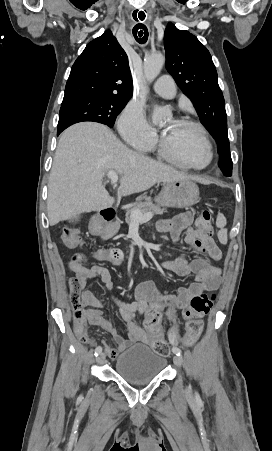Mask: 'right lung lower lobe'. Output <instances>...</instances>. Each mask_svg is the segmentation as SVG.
<instances>
[{
    "instance_id": "1",
    "label": "right lung lower lobe",
    "mask_w": 272,
    "mask_h": 451,
    "mask_svg": "<svg viewBox=\"0 0 272 451\" xmlns=\"http://www.w3.org/2000/svg\"><path fill=\"white\" fill-rule=\"evenodd\" d=\"M61 132H57V135H59Z\"/></svg>"
}]
</instances>
